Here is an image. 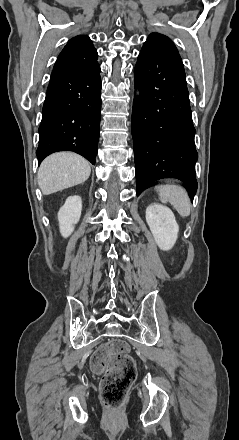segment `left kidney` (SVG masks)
<instances>
[{"mask_svg": "<svg viewBox=\"0 0 239 440\" xmlns=\"http://www.w3.org/2000/svg\"><path fill=\"white\" fill-rule=\"evenodd\" d=\"M146 222L160 250H171L178 238L179 226L167 206L150 204L146 208Z\"/></svg>", "mask_w": 239, "mask_h": 440, "instance_id": "1", "label": "left kidney"}]
</instances>
